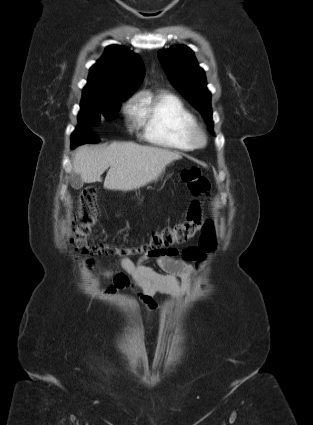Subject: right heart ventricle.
Returning <instances> with one entry per match:
<instances>
[{
	"instance_id": "right-heart-ventricle-1",
	"label": "right heart ventricle",
	"mask_w": 313,
	"mask_h": 425,
	"mask_svg": "<svg viewBox=\"0 0 313 425\" xmlns=\"http://www.w3.org/2000/svg\"><path fill=\"white\" fill-rule=\"evenodd\" d=\"M134 114L146 141L174 150L195 148L190 132L197 122L178 97L165 92L142 93Z\"/></svg>"
}]
</instances>
